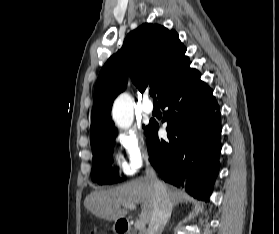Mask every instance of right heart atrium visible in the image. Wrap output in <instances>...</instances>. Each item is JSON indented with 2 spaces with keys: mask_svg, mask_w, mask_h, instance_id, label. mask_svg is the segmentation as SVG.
Masks as SVG:
<instances>
[{
  "mask_svg": "<svg viewBox=\"0 0 279 234\" xmlns=\"http://www.w3.org/2000/svg\"><path fill=\"white\" fill-rule=\"evenodd\" d=\"M117 141L123 152L122 169L126 175H134L150 158L148 144L142 133L134 129L119 134Z\"/></svg>",
  "mask_w": 279,
  "mask_h": 234,
  "instance_id": "1",
  "label": "right heart atrium"
}]
</instances>
